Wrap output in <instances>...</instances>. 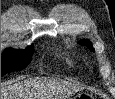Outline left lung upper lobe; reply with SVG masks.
I'll return each instance as SVG.
<instances>
[{
    "mask_svg": "<svg viewBox=\"0 0 115 99\" xmlns=\"http://www.w3.org/2000/svg\"><path fill=\"white\" fill-rule=\"evenodd\" d=\"M81 45L87 46L91 51H94V48L92 47V44L89 40H83L82 42H79Z\"/></svg>",
    "mask_w": 115,
    "mask_h": 99,
    "instance_id": "left-lung-upper-lobe-1",
    "label": "left lung upper lobe"
}]
</instances>
